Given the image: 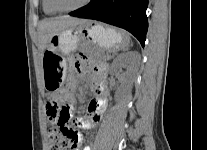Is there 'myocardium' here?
Wrapping results in <instances>:
<instances>
[{
  "mask_svg": "<svg viewBox=\"0 0 207 150\" xmlns=\"http://www.w3.org/2000/svg\"><path fill=\"white\" fill-rule=\"evenodd\" d=\"M90 1L91 0H83L79 5L72 7V8H62L58 5L56 0H49V3L55 11L62 12V13H68V12H73V11H76V10H79L85 7L87 4H89Z\"/></svg>",
  "mask_w": 207,
  "mask_h": 150,
  "instance_id": "f54148a6",
  "label": "myocardium"
}]
</instances>
